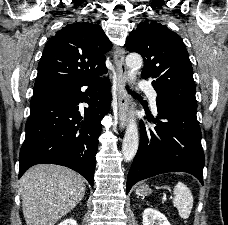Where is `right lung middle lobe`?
<instances>
[{
    "mask_svg": "<svg viewBox=\"0 0 228 225\" xmlns=\"http://www.w3.org/2000/svg\"><path fill=\"white\" fill-rule=\"evenodd\" d=\"M57 89H62V88L53 87V88H38V89H34L33 96L39 95V94H43V93H46V92H50V91H53V90H57Z\"/></svg>",
    "mask_w": 228,
    "mask_h": 225,
    "instance_id": "dd1d6c3e",
    "label": "right lung middle lobe"
}]
</instances>
